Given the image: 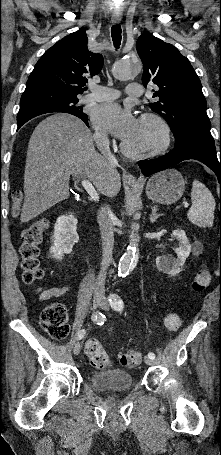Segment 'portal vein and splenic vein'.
Masks as SVG:
<instances>
[{
    "label": "portal vein and splenic vein",
    "mask_w": 221,
    "mask_h": 455,
    "mask_svg": "<svg viewBox=\"0 0 221 455\" xmlns=\"http://www.w3.org/2000/svg\"><path fill=\"white\" fill-rule=\"evenodd\" d=\"M81 184H82V186L84 187V189L87 191V193L90 195V197H91L94 201L98 202V201H99L98 193L96 192L95 188H94L93 185L90 183V181L83 179V180L81 181ZM184 206H185V208H187L189 205H188V204H185Z\"/></svg>",
    "instance_id": "18ae733b"
}]
</instances>
